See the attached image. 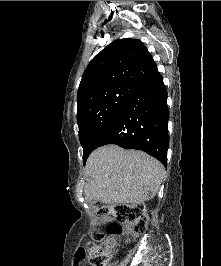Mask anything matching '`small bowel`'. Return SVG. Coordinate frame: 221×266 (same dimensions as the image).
<instances>
[{
  "label": "small bowel",
  "mask_w": 221,
  "mask_h": 266,
  "mask_svg": "<svg viewBox=\"0 0 221 266\" xmlns=\"http://www.w3.org/2000/svg\"><path fill=\"white\" fill-rule=\"evenodd\" d=\"M104 221L108 220V216L103 218ZM86 247L85 246H77V251L79 252H74V266H87L86 263H83L85 261V252H80V251H85Z\"/></svg>",
  "instance_id": "obj_1"
}]
</instances>
